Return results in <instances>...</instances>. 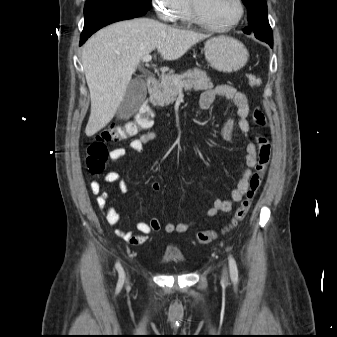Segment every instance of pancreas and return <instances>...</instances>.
<instances>
[{"label": "pancreas", "instance_id": "cf45deb5", "mask_svg": "<svg viewBox=\"0 0 337 337\" xmlns=\"http://www.w3.org/2000/svg\"><path fill=\"white\" fill-rule=\"evenodd\" d=\"M212 87L213 84L206 72L194 68L182 74L161 76L159 85L150 95V101L155 106L163 107L173 103L182 89L185 91L191 89L198 91Z\"/></svg>", "mask_w": 337, "mask_h": 337}]
</instances>
